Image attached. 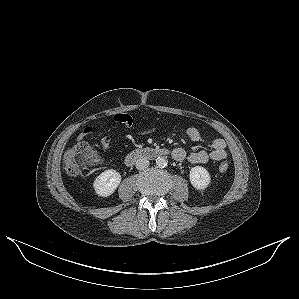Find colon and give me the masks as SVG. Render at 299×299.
I'll list each match as a JSON object with an SVG mask.
<instances>
[{
    "instance_id": "5ec220e1",
    "label": "colon",
    "mask_w": 299,
    "mask_h": 299,
    "mask_svg": "<svg viewBox=\"0 0 299 299\" xmlns=\"http://www.w3.org/2000/svg\"><path fill=\"white\" fill-rule=\"evenodd\" d=\"M98 161V153L94 146L80 140L69 149L64 156V166L71 176H81ZM219 171L224 173L228 170V164L222 162Z\"/></svg>"
}]
</instances>
